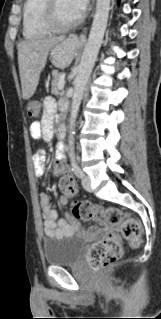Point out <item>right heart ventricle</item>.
I'll use <instances>...</instances> for the list:
<instances>
[{"label":"right heart ventricle","instance_id":"1","mask_svg":"<svg viewBox=\"0 0 161 319\" xmlns=\"http://www.w3.org/2000/svg\"><path fill=\"white\" fill-rule=\"evenodd\" d=\"M45 0H26L23 8V37L35 40L46 37L49 30L42 23Z\"/></svg>","mask_w":161,"mask_h":319}]
</instances>
